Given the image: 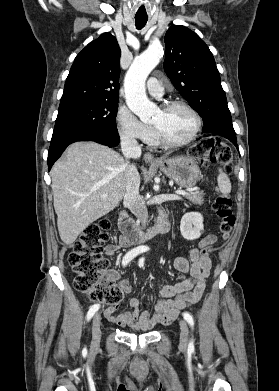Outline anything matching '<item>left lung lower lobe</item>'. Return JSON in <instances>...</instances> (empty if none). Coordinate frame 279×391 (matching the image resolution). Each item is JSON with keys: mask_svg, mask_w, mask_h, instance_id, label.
<instances>
[{"mask_svg": "<svg viewBox=\"0 0 279 391\" xmlns=\"http://www.w3.org/2000/svg\"><path fill=\"white\" fill-rule=\"evenodd\" d=\"M213 135H220V136H223V137L229 139L236 147H238V146H237L236 135H232V134H213Z\"/></svg>", "mask_w": 279, "mask_h": 391, "instance_id": "obj_1", "label": "left lung lower lobe"}]
</instances>
